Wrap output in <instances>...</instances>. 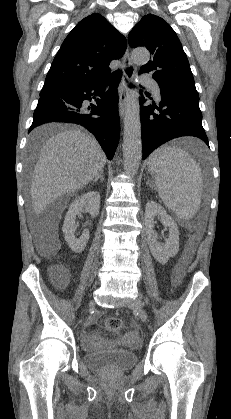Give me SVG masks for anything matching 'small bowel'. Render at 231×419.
<instances>
[{
	"label": "small bowel",
	"mask_w": 231,
	"mask_h": 419,
	"mask_svg": "<svg viewBox=\"0 0 231 419\" xmlns=\"http://www.w3.org/2000/svg\"><path fill=\"white\" fill-rule=\"evenodd\" d=\"M100 313H96L93 317H91L86 323V329L84 330L83 336V346L87 350H94L99 345L105 344L110 342L109 339L92 333L88 330V327L94 326L96 324L97 318L99 317ZM136 342V339L133 340V343Z\"/></svg>",
	"instance_id": "small-bowel-1"
}]
</instances>
